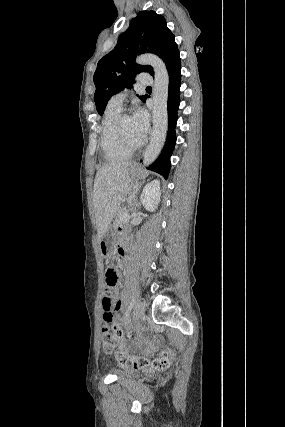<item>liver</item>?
I'll return each instance as SVG.
<instances>
[{
  "instance_id": "obj_1",
  "label": "liver",
  "mask_w": 285,
  "mask_h": 427,
  "mask_svg": "<svg viewBox=\"0 0 285 427\" xmlns=\"http://www.w3.org/2000/svg\"><path fill=\"white\" fill-rule=\"evenodd\" d=\"M132 163H109L96 173L93 189V205L98 237L107 232L111 221L128 192Z\"/></svg>"
}]
</instances>
